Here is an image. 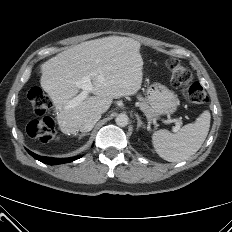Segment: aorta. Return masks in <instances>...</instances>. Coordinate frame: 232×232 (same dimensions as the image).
<instances>
[{
  "mask_svg": "<svg viewBox=\"0 0 232 232\" xmlns=\"http://www.w3.org/2000/svg\"><path fill=\"white\" fill-rule=\"evenodd\" d=\"M115 122L118 126L125 127L128 125L129 119L126 114L121 113L116 117Z\"/></svg>",
  "mask_w": 232,
  "mask_h": 232,
  "instance_id": "obj_1",
  "label": "aorta"
}]
</instances>
